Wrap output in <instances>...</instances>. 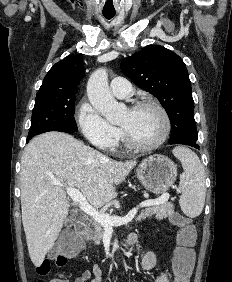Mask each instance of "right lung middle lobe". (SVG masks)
<instances>
[{"label":"right lung middle lobe","instance_id":"1","mask_svg":"<svg viewBox=\"0 0 232 282\" xmlns=\"http://www.w3.org/2000/svg\"><path fill=\"white\" fill-rule=\"evenodd\" d=\"M74 113L75 94H37L27 140L55 127L77 131Z\"/></svg>","mask_w":232,"mask_h":282}]
</instances>
